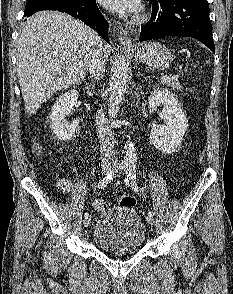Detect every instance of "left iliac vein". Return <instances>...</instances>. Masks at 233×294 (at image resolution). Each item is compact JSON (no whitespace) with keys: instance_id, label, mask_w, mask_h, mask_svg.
I'll use <instances>...</instances> for the list:
<instances>
[{"instance_id":"4c4485c4","label":"left iliac vein","mask_w":233,"mask_h":294,"mask_svg":"<svg viewBox=\"0 0 233 294\" xmlns=\"http://www.w3.org/2000/svg\"><path fill=\"white\" fill-rule=\"evenodd\" d=\"M146 220L150 225H154L155 223L154 218L152 216L147 215Z\"/></svg>"}]
</instances>
